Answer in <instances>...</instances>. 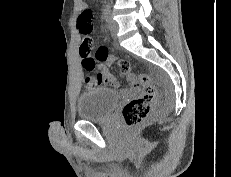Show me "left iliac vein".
Returning <instances> with one entry per match:
<instances>
[{"instance_id":"obj_1","label":"left iliac vein","mask_w":231,"mask_h":177,"mask_svg":"<svg viewBox=\"0 0 231 177\" xmlns=\"http://www.w3.org/2000/svg\"><path fill=\"white\" fill-rule=\"evenodd\" d=\"M108 27H109V30H110L112 36L114 38H116L119 27H118L117 22L114 21L111 16L109 17V20H108Z\"/></svg>"}]
</instances>
